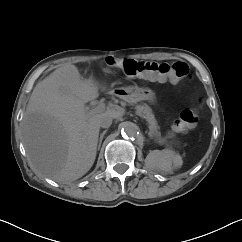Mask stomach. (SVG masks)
I'll return each instance as SVG.
<instances>
[{
    "label": "stomach",
    "instance_id": "stomach-1",
    "mask_svg": "<svg viewBox=\"0 0 242 242\" xmlns=\"http://www.w3.org/2000/svg\"><path fill=\"white\" fill-rule=\"evenodd\" d=\"M112 93L129 103H136L139 101H149L153 103L155 101V92L148 87L128 86L113 89Z\"/></svg>",
    "mask_w": 242,
    "mask_h": 242
}]
</instances>
